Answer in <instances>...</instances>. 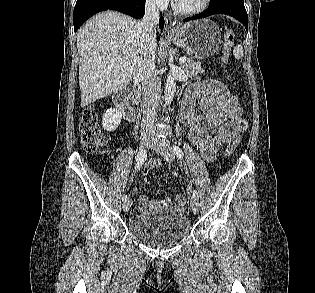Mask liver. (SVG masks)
Wrapping results in <instances>:
<instances>
[{
  "instance_id": "obj_1",
  "label": "liver",
  "mask_w": 315,
  "mask_h": 293,
  "mask_svg": "<svg viewBox=\"0 0 315 293\" xmlns=\"http://www.w3.org/2000/svg\"><path fill=\"white\" fill-rule=\"evenodd\" d=\"M77 49L84 108L130 83L143 57L140 21L114 11L99 13L78 31Z\"/></svg>"
}]
</instances>
